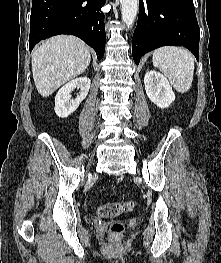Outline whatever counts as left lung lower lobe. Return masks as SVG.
<instances>
[{"instance_id": "left-lung-lower-lobe-1", "label": "left lung lower lobe", "mask_w": 221, "mask_h": 263, "mask_svg": "<svg viewBox=\"0 0 221 263\" xmlns=\"http://www.w3.org/2000/svg\"><path fill=\"white\" fill-rule=\"evenodd\" d=\"M199 38L193 0H139L132 41L137 65L145 53L165 45L184 46L198 60Z\"/></svg>"}]
</instances>
